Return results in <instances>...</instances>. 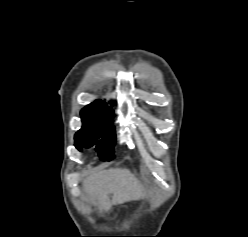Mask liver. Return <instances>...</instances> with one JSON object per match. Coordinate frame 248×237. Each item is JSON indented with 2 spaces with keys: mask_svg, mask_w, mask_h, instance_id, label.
I'll return each mask as SVG.
<instances>
[{
  "mask_svg": "<svg viewBox=\"0 0 248 237\" xmlns=\"http://www.w3.org/2000/svg\"><path fill=\"white\" fill-rule=\"evenodd\" d=\"M83 187L100 211L110 210V194L114 204L138 200L143 195L140 181L130 170L123 168L94 172L84 179Z\"/></svg>",
  "mask_w": 248,
  "mask_h": 237,
  "instance_id": "1",
  "label": "liver"
}]
</instances>
